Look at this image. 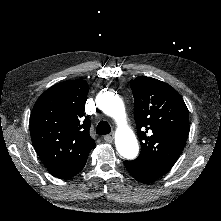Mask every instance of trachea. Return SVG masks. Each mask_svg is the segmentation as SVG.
Segmentation results:
<instances>
[{"label":"trachea","mask_w":221,"mask_h":221,"mask_svg":"<svg viewBox=\"0 0 221 221\" xmlns=\"http://www.w3.org/2000/svg\"><path fill=\"white\" fill-rule=\"evenodd\" d=\"M110 132H111V127L108 122L101 121L98 123L96 127V133L98 135H106V134H109Z\"/></svg>","instance_id":"obj_1"}]
</instances>
